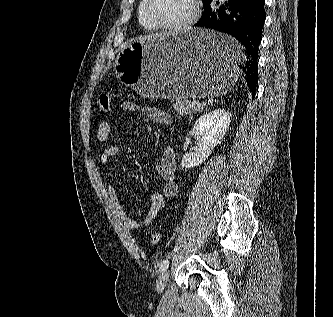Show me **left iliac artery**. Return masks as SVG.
I'll list each match as a JSON object with an SVG mask.
<instances>
[{
    "mask_svg": "<svg viewBox=\"0 0 333 317\" xmlns=\"http://www.w3.org/2000/svg\"><path fill=\"white\" fill-rule=\"evenodd\" d=\"M169 266V260L165 259L160 263V271L164 272Z\"/></svg>",
    "mask_w": 333,
    "mask_h": 317,
    "instance_id": "1",
    "label": "left iliac artery"
}]
</instances>
